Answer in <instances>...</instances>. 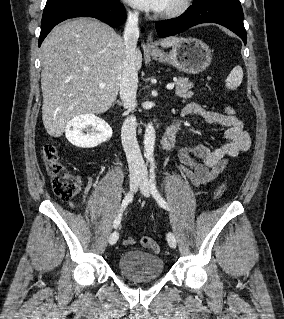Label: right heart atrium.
I'll list each match as a JSON object with an SVG mask.
<instances>
[{"instance_id": "right-heart-atrium-1", "label": "right heart atrium", "mask_w": 284, "mask_h": 319, "mask_svg": "<svg viewBox=\"0 0 284 319\" xmlns=\"http://www.w3.org/2000/svg\"><path fill=\"white\" fill-rule=\"evenodd\" d=\"M129 15H130L131 17H135V16H136V12L133 11V10H129Z\"/></svg>"}]
</instances>
